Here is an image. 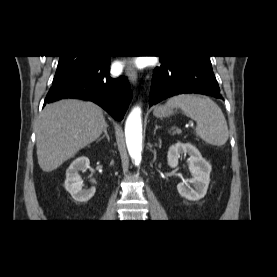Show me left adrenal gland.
<instances>
[{
	"label": "left adrenal gland",
	"instance_id": "1",
	"mask_svg": "<svg viewBox=\"0 0 277 277\" xmlns=\"http://www.w3.org/2000/svg\"><path fill=\"white\" fill-rule=\"evenodd\" d=\"M160 128V126L156 125L154 129V134H156L157 129Z\"/></svg>",
	"mask_w": 277,
	"mask_h": 277
}]
</instances>
